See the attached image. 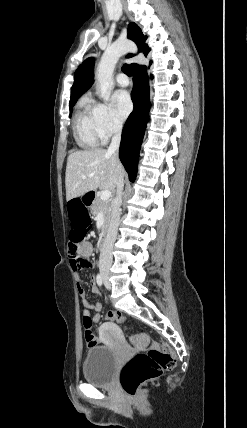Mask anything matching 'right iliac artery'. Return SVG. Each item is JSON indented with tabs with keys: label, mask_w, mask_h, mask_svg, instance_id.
Listing matches in <instances>:
<instances>
[{
	"label": "right iliac artery",
	"mask_w": 247,
	"mask_h": 428,
	"mask_svg": "<svg viewBox=\"0 0 247 428\" xmlns=\"http://www.w3.org/2000/svg\"><path fill=\"white\" fill-rule=\"evenodd\" d=\"M97 284L101 287L103 285V279L101 274H98L96 277Z\"/></svg>",
	"instance_id": "82829eb1"
}]
</instances>
